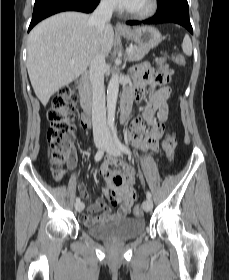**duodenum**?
<instances>
[{"instance_id": "duodenum-1", "label": "duodenum", "mask_w": 229, "mask_h": 280, "mask_svg": "<svg viewBox=\"0 0 229 280\" xmlns=\"http://www.w3.org/2000/svg\"><path fill=\"white\" fill-rule=\"evenodd\" d=\"M79 95H80V105L85 113L84 120L87 124H89L90 113L93 106V87L90 82V76L88 73H83L81 75ZM132 100H133L132 94L130 93L123 94L121 99L122 122H125L129 117Z\"/></svg>"}]
</instances>
